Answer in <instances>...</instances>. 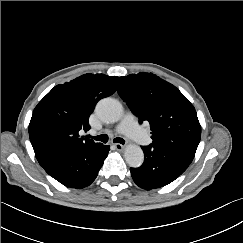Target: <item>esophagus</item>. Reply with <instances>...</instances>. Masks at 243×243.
Here are the masks:
<instances>
[{
	"label": "esophagus",
	"mask_w": 243,
	"mask_h": 243,
	"mask_svg": "<svg viewBox=\"0 0 243 243\" xmlns=\"http://www.w3.org/2000/svg\"><path fill=\"white\" fill-rule=\"evenodd\" d=\"M114 148L118 151H123L125 147L121 144H114Z\"/></svg>",
	"instance_id": "34e87169"
}]
</instances>
